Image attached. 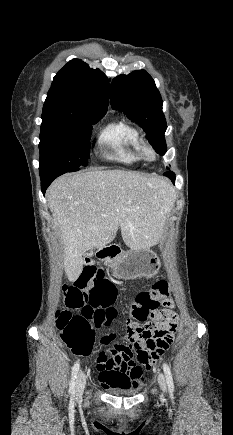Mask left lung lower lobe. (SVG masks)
<instances>
[{"label":"left lung lower lobe","mask_w":233,"mask_h":435,"mask_svg":"<svg viewBox=\"0 0 233 435\" xmlns=\"http://www.w3.org/2000/svg\"><path fill=\"white\" fill-rule=\"evenodd\" d=\"M164 175L171 179L173 183L175 182V174L172 171L166 172Z\"/></svg>","instance_id":"left-lung-lower-lobe-1"}]
</instances>
